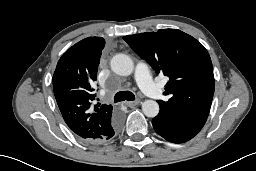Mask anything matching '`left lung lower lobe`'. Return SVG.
<instances>
[{"label": "left lung lower lobe", "instance_id": "0a47b994", "mask_svg": "<svg viewBox=\"0 0 256 171\" xmlns=\"http://www.w3.org/2000/svg\"><path fill=\"white\" fill-rule=\"evenodd\" d=\"M152 125L160 136L173 143H183L192 139L202 128L191 123L180 112L165 107H160V112L152 120Z\"/></svg>", "mask_w": 256, "mask_h": 171}]
</instances>
